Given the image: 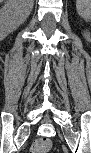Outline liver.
<instances>
[{
    "label": "liver",
    "mask_w": 91,
    "mask_h": 153,
    "mask_svg": "<svg viewBox=\"0 0 91 153\" xmlns=\"http://www.w3.org/2000/svg\"><path fill=\"white\" fill-rule=\"evenodd\" d=\"M24 1H25L24 3L28 4L31 7V9H32L33 1L32 0H24Z\"/></svg>",
    "instance_id": "6515ba94"
}]
</instances>
